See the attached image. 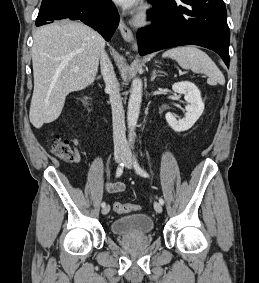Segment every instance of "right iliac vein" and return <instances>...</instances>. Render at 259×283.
Instances as JSON below:
<instances>
[{"label":"right iliac vein","mask_w":259,"mask_h":283,"mask_svg":"<svg viewBox=\"0 0 259 283\" xmlns=\"http://www.w3.org/2000/svg\"><path fill=\"white\" fill-rule=\"evenodd\" d=\"M114 158H115V161H116L117 163H119V162L123 159V152H120V151L115 152ZM109 211H110V206H109V205H106V206L103 207V209H102V214H103V215H106V214L109 213Z\"/></svg>","instance_id":"right-iliac-vein-1"}]
</instances>
